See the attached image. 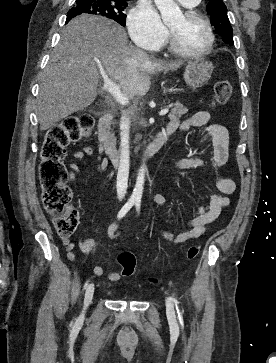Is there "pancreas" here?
Returning <instances> with one entry per match:
<instances>
[{
	"mask_svg": "<svg viewBox=\"0 0 276 363\" xmlns=\"http://www.w3.org/2000/svg\"><path fill=\"white\" fill-rule=\"evenodd\" d=\"M170 107H172V110L169 113L168 117L172 121L178 120L182 115L186 114L188 111V109L184 107L180 102L171 104Z\"/></svg>",
	"mask_w": 276,
	"mask_h": 363,
	"instance_id": "1",
	"label": "pancreas"
}]
</instances>
